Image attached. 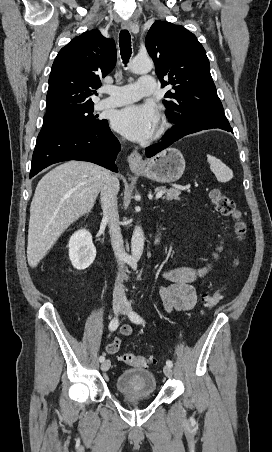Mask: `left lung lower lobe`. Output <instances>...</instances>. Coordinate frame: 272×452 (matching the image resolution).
<instances>
[{"label": "left lung lower lobe", "mask_w": 272, "mask_h": 452, "mask_svg": "<svg viewBox=\"0 0 272 452\" xmlns=\"http://www.w3.org/2000/svg\"><path fill=\"white\" fill-rule=\"evenodd\" d=\"M211 128H219L228 132H232L233 130L230 127V125H223V126H173L172 129L168 130L166 134L163 136V141L161 143H157L155 145L149 146L146 148V156L152 157L158 152L162 151L163 149L167 148L171 144H173L178 139L182 138L185 135L195 133L201 130L205 129H211Z\"/></svg>", "instance_id": "left-lung-lower-lobe-1"}]
</instances>
